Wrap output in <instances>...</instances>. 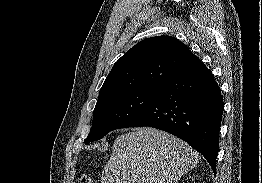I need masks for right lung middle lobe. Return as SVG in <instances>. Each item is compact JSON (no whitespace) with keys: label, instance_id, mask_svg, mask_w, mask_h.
I'll list each match as a JSON object with an SVG mask.
<instances>
[{"label":"right lung middle lobe","instance_id":"right-lung-middle-lobe-1","mask_svg":"<svg viewBox=\"0 0 262 183\" xmlns=\"http://www.w3.org/2000/svg\"><path fill=\"white\" fill-rule=\"evenodd\" d=\"M157 91L129 89L99 96L93 112L92 128L84 143L89 144L103 138L112 130L124 128L142 112Z\"/></svg>","mask_w":262,"mask_h":183}]
</instances>
